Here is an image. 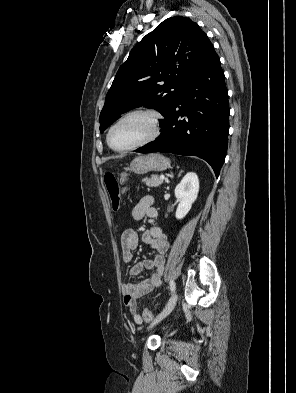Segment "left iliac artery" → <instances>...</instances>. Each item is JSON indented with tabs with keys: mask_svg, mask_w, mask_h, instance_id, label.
<instances>
[{
	"mask_svg": "<svg viewBox=\"0 0 296 393\" xmlns=\"http://www.w3.org/2000/svg\"><path fill=\"white\" fill-rule=\"evenodd\" d=\"M169 286H170L171 293L175 292L176 284H175L174 280L170 279Z\"/></svg>",
	"mask_w": 296,
	"mask_h": 393,
	"instance_id": "left-iliac-artery-1",
	"label": "left iliac artery"
}]
</instances>
